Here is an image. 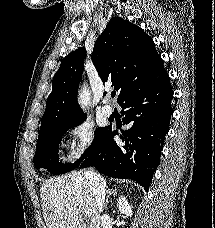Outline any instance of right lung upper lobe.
I'll return each mask as SVG.
<instances>
[{
	"label": "right lung upper lobe",
	"instance_id": "right-lung-upper-lobe-1",
	"mask_svg": "<svg viewBox=\"0 0 215 228\" xmlns=\"http://www.w3.org/2000/svg\"><path fill=\"white\" fill-rule=\"evenodd\" d=\"M86 50L78 48L63 58L53 77L41 127L85 118L77 103ZM92 61L103 82L112 81L121 104L131 86L139 81L157 80L167 75L153 40L138 26L112 17L95 42Z\"/></svg>",
	"mask_w": 215,
	"mask_h": 228
}]
</instances>
